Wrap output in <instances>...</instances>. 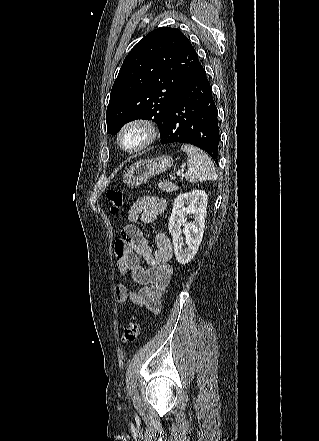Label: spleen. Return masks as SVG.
Here are the masks:
<instances>
[{
	"label": "spleen",
	"mask_w": 319,
	"mask_h": 441,
	"mask_svg": "<svg viewBox=\"0 0 319 441\" xmlns=\"http://www.w3.org/2000/svg\"><path fill=\"white\" fill-rule=\"evenodd\" d=\"M181 150L187 154L188 170L185 179L191 183L216 179V170L210 157L201 149L183 144Z\"/></svg>",
	"instance_id": "obj_1"
}]
</instances>
